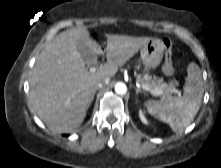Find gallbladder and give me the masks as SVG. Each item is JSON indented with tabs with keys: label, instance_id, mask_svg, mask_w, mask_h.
Listing matches in <instances>:
<instances>
[{
	"label": "gallbladder",
	"instance_id": "gallbladder-1",
	"mask_svg": "<svg viewBox=\"0 0 221 168\" xmlns=\"http://www.w3.org/2000/svg\"><path fill=\"white\" fill-rule=\"evenodd\" d=\"M77 50L80 53L83 60L87 63H94L96 61V55L93 51L83 42H80L77 46Z\"/></svg>",
	"mask_w": 221,
	"mask_h": 168
}]
</instances>
